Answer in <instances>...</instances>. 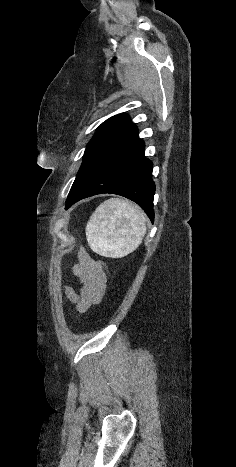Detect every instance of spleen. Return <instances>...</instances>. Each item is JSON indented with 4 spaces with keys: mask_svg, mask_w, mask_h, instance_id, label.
<instances>
[{
    "mask_svg": "<svg viewBox=\"0 0 236 467\" xmlns=\"http://www.w3.org/2000/svg\"><path fill=\"white\" fill-rule=\"evenodd\" d=\"M145 216L126 200L112 198L95 210L86 226L89 246L97 254L122 258L140 245L145 235Z\"/></svg>",
    "mask_w": 236,
    "mask_h": 467,
    "instance_id": "1",
    "label": "spleen"
}]
</instances>
